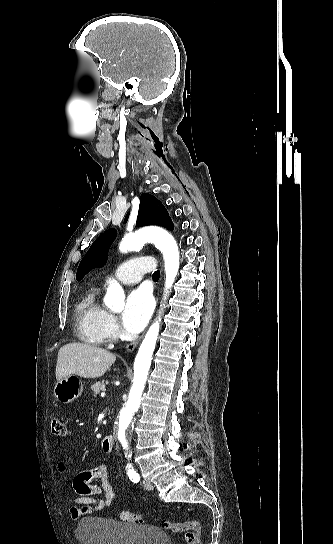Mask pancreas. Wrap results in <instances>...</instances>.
I'll return each mask as SVG.
<instances>
[{
    "mask_svg": "<svg viewBox=\"0 0 333 544\" xmlns=\"http://www.w3.org/2000/svg\"><path fill=\"white\" fill-rule=\"evenodd\" d=\"M105 388L106 386L104 381L96 382L91 386V390L93 391L94 395L99 394L101 391H105Z\"/></svg>",
    "mask_w": 333,
    "mask_h": 544,
    "instance_id": "1",
    "label": "pancreas"
}]
</instances>
